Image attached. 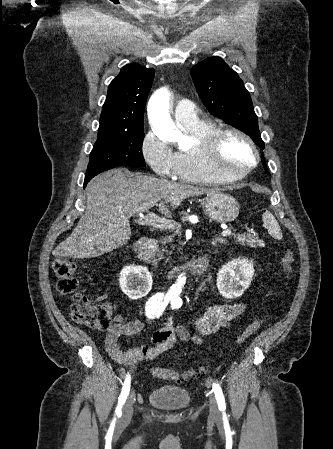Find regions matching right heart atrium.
Listing matches in <instances>:
<instances>
[{"mask_svg": "<svg viewBox=\"0 0 333 449\" xmlns=\"http://www.w3.org/2000/svg\"><path fill=\"white\" fill-rule=\"evenodd\" d=\"M141 153L151 169L161 177H175L177 168L176 152L154 132L145 134L141 143Z\"/></svg>", "mask_w": 333, "mask_h": 449, "instance_id": "1", "label": "right heart atrium"}]
</instances>
